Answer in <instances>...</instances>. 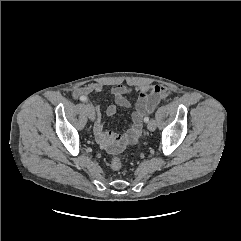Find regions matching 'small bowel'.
<instances>
[{"label": "small bowel", "instance_id": "small-bowel-1", "mask_svg": "<svg viewBox=\"0 0 241 241\" xmlns=\"http://www.w3.org/2000/svg\"><path fill=\"white\" fill-rule=\"evenodd\" d=\"M102 89V84L90 83L76 88L73 91L72 96L74 99H80L81 96L86 97L92 93H99ZM134 91H137L139 96L132 113V125L127 131L122 133L108 131L104 128L101 119L100 104L94 103L97 112V119L94 124V134L102 149L109 154L120 153L128 146L136 143L142 132L143 117L145 114L149 113L159 100L167 97L170 93L169 89L162 85L128 87L118 84L113 86L110 90L115 104H111L106 108V114L108 116H114L117 112V107L130 108L131 102L127 99L126 95Z\"/></svg>", "mask_w": 241, "mask_h": 241}]
</instances>
